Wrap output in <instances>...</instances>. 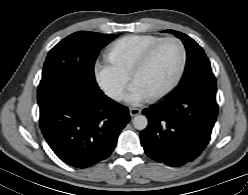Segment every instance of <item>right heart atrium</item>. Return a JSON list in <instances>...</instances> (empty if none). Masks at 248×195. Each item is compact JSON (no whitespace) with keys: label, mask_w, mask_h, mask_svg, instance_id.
Listing matches in <instances>:
<instances>
[{"label":"right heart atrium","mask_w":248,"mask_h":195,"mask_svg":"<svg viewBox=\"0 0 248 195\" xmlns=\"http://www.w3.org/2000/svg\"><path fill=\"white\" fill-rule=\"evenodd\" d=\"M98 77L102 86L110 91H118L126 85L125 78L115 69L114 64L113 66L110 64L102 66Z\"/></svg>","instance_id":"obj_1"}]
</instances>
